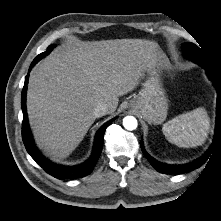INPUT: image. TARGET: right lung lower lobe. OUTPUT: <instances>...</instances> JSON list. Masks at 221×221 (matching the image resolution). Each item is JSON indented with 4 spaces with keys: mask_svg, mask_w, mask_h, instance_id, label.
<instances>
[{
    "mask_svg": "<svg viewBox=\"0 0 221 221\" xmlns=\"http://www.w3.org/2000/svg\"><path fill=\"white\" fill-rule=\"evenodd\" d=\"M42 58H43L42 56L38 55L32 62L29 70ZM27 83H28V75L25 78V83L22 90L21 107L23 111L22 138L26 150L28 151L30 156L48 174L52 175L57 179H77L90 174L94 169V166L96 165L97 160L101 154L105 130L108 127V125L112 123L114 119L110 120L105 125H103L97 132L92 155L86 162L77 166H63V165L54 164L40 154V152L36 149L33 139L31 137L30 128L27 119L26 104H25Z\"/></svg>",
    "mask_w": 221,
    "mask_h": 221,
    "instance_id": "obj_1",
    "label": "right lung lower lobe"
}]
</instances>
